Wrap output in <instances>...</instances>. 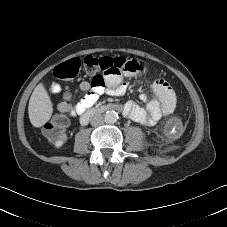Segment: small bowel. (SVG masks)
Wrapping results in <instances>:
<instances>
[{
  "instance_id": "c3829d8e",
  "label": "small bowel",
  "mask_w": 227,
  "mask_h": 227,
  "mask_svg": "<svg viewBox=\"0 0 227 227\" xmlns=\"http://www.w3.org/2000/svg\"><path fill=\"white\" fill-rule=\"evenodd\" d=\"M134 72H127L125 76L134 75ZM84 96L75 104L55 99L54 106L58 113H67L70 116H76L83 113L87 108L93 106L103 93L112 96L124 95L129 89V83L123 80L122 75H107L105 84L94 86L89 81H82L79 84ZM154 96L149 98L146 93H141L140 99L146 103L145 107L138 105L134 101H127L124 104V115L136 122L147 126L155 125L161 117L174 112L176 108V95L171 85L158 79L152 85ZM57 91L52 89V95Z\"/></svg>"
}]
</instances>
